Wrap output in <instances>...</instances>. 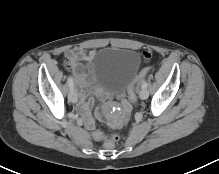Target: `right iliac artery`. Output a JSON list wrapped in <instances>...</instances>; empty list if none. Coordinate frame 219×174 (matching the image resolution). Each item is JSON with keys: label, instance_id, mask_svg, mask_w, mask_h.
Instances as JSON below:
<instances>
[{"label": "right iliac artery", "instance_id": "right-iliac-artery-1", "mask_svg": "<svg viewBox=\"0 0 219 174\" xmlns=\"http://www.w3.org/2000/svg\"><path fill=\"white\" fill-rule=\"evenodd\" d=\"M68 85H69L70 89H73L74 82H73V78L71 76L68 77Z\"/></svg>", "mask_w": 219, "mask_h": 174}]
</instances>
